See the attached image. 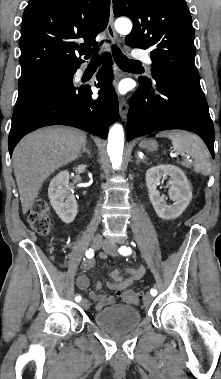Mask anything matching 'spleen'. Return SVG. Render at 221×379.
Listing matches in <instances>:
<instances>
[{
  "instance_id": "1",
  "label": "spleen",
  "mask_w": 221,
  "mask_h": 379,
  "mask_svg": "<svg viewBox=\"0 0 221 379\" xmlns=\"http://www.w3.org/2000/svg\"><path fill=\"white\" fill-rule=\"evenodd\" d=\"M156 137H167L172 141L177 152L191 157L195 172L204 176L210 174L211 163L209 152L203 141L196 135L185 131L160 132Z\"/></svg>"
}]
</instances>
